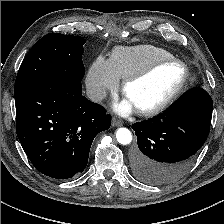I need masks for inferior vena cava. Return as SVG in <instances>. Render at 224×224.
Segmentation results:
<instances>
[{
    "label": "inferior vena cava",
    "instance_id": "obj_1",
    "mask_svg": "<svg viewBox=\"0 0 224 224\" xmlns=\"http://www.w3.org/2000/svg\"><path fill=\"white\" fill-rule=\"evenodd\" d=\"M86 94L91 101L100 102L106 97V90L102 87H89Z\"/></svg>",
    "mask_w": 224,
    "mask_h": 224
}]
</instances>
